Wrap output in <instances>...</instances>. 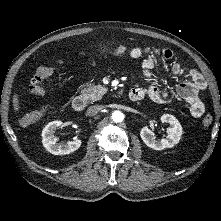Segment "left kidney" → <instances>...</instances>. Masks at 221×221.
I'll return each mask as SVG.
<instances>
[{
	"mask_svg": "<svg viewBox=\"0 0 221 221\" xmlns=\"http://www.w3.org/2000/svg\"><path fill=\"white\" fill-rule=\"evenodd\" d=\"M160 119L161 122L170 124L167 128V137L165 139H156L153 131H151L147 126L143 127L140 131V136L143 142L154 150H163L164 148L173 147L180 141L182 135V126L173 115L164 114Z\"/></svg>",
	"mask_w": 221,
	"mask_h": 221,
	"instance_id": "5707ae66",
	"label": "left kidney"
}]
</instances>
